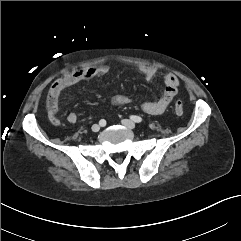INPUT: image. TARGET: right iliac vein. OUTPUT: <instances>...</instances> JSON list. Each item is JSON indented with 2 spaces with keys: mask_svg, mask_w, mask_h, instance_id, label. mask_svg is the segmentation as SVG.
<instances>
[{
  "mask_svg": "<svg viewBox=\"0 0 241 241\" xmlns=\"http://www.w3.org/2000/svg\"><path fill=\"white\" fill-rule=\"evenodd\" d=\"M91 129L93 132H98L100 130V126L98 124H94Z\"/></svg>",
  "mask_w": 241,
  "mask_h": 241,
  "instance_id": "1",
  "label": "right iliac vein"
}]
</instances>
